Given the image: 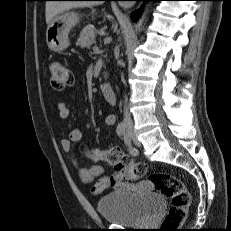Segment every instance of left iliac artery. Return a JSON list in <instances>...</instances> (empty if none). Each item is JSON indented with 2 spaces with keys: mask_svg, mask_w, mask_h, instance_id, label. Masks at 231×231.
<instances>
[{
  "mask_svg": "<svg viewBox=\"0 0 231 231\" xmlns=\"http://www.w3.org/2000/svg\"><path fill=\"white\" fill-rule=\"evenodd\" d=\"M124 142L126 144V146L128 147V150H129V153L133 156H136L138 154V151L137 149H135L133 146H132V143H131V136L129 133H126L124 135Z\"/></svg>",
  "mask_w": 231,
  "mask_h": 231,
  "instance_id": "44dca946",
  "label": "left iliac artery"
}]
</instances>
